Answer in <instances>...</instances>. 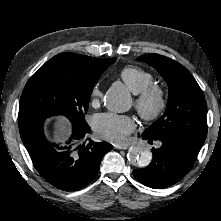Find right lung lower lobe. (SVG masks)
Masks as SVG:
<instances>
[{
    "label": "right lung lower lobe",
    "mask_w": 221,
    "mask_h": 221,
    "mask_svg": "<svg viewBox=\"0 0 221 221\" xmlns=\"http://www.w3.org/2000/svg\"><path fill=\"white\" fill-rule=\"evenodd\" d=\"M21 139L39 174L54 187L77 191L97 175L103 156L113 146L106 142H82L90 131L88 124L73 125L72 135L62 145L50 143L43 133V121L19 126Z\"/></svg>",
    "instance_id": "right-lung-lower-lobe-1"
}]
</instances>
